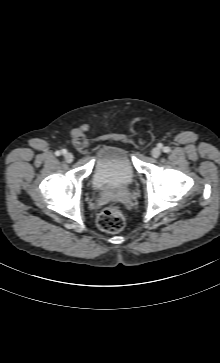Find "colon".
Instances as JSON below:
<instances>
[{
  "label": "colon",
  "instance_id": "1",
  "mask_svg": "<svg viewBox=\"0 0 220 363\" xmlns=\"http://www.w3.org/2000/svg\"><path fill=\"white\" fill-rule=\"evenodd\" d=\"M98 227L107 233L120 232L125 225L124 215L117 206H110L103 209L97 217Z\"/></svg>",
  "mask_w": 220,
  "mask_h": 363
}]
</instances>
